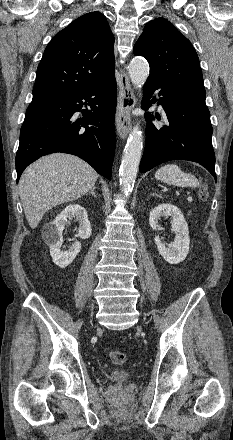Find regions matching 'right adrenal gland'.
<instances>
[{"label":"right adrenal gland","instance_id":"2a0ac1e0","mask_svg":"<svg viewBox=\"0 0 233 440\" xmlns=\"http://www.w3.org/2000/svg\"><path fill=\"white\" fill-rule=\"evenodd\" d=\"M94 191H95V186L91 189V191H89L88 194H92L94 197H96V194Z\"/></svg>","mask_w":233,"mask_h":440}]
</instances>
